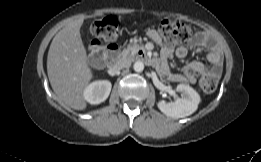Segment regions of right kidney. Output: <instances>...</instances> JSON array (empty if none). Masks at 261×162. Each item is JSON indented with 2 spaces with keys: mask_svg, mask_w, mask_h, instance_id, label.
<instances>
[{
  "mask_svg": "<svg viewBox=\"0 0 261 162\" xmlns=\"http://www.w3.org/2000/svg\"><path fill=\"white\" fill-rule=\"evenodd\" d=\"M111 87L110 81H94L85 88L84 99L90 104H100L108 98Z\"/></svg>",
  "mask_w": 261,
  "mask_h": 162,
  "instance_id": "1",
  "label": "right kidney"
}]
</instances>
